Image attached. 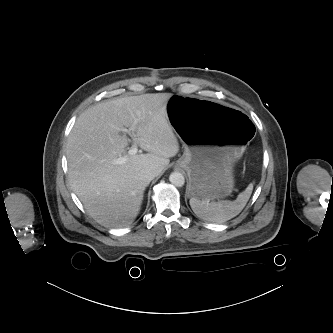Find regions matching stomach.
<instances>
[{"label":"stomach","mask_w":333,"mask_h":333,"mask_svg":"<svg viewBox=\"0 0 333 333\" xmlns=\"http://www.w3.org/2000/svg\"><path fill=\"white\" fill-rule=\"evenodd\" d=\"M167 119L190 156L188 195L221 199L234 185L233 163L255 133L239 109L222 102L172 95Z\"/></svg>","instance_id":"stomach-1"}]
</instances>
